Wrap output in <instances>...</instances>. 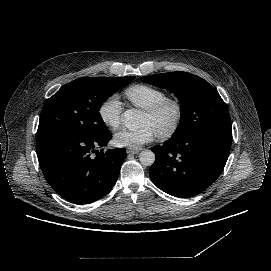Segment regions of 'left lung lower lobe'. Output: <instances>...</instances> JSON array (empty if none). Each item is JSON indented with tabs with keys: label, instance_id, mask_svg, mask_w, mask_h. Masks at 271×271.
Segmentation results:
<instances>
[{
	"label": "left lung lower lobe",
	"instance_id": "obj_1",
	"mask_svg": "<svg viewBox=\"0 0 271 271\" xmlns=\"http://www.w3.org/2000/svg\"><path fill=\"white\" fill-rule=\"evenodd\" d=\"M232 143L231 127H204L172 136L154 146L156 160L149 170L162 191L189 198L206 190L221 174Z\"/></svg>",
	"mask_w": 271,
	"mask_h": 271
}]
</instances>
